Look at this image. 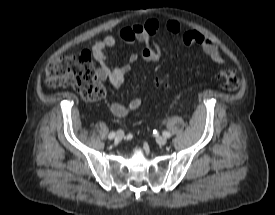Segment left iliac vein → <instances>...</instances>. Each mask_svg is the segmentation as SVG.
Segmentation results:
<instances>
[{
	"mask_svg": "<svg viewBox=\"0 0 275 215\" xmlns=\"http://www.w3.org/2000/svg\"><path fill=\"white\" fill-rule=\"evenodd\" d=\"M156 141L159 145H165L167 143L166 137H163V136H158L156 138Z\"/></svg>",
	"mask_w": 275,
	"mask_h": 215,
	"instance_id": "1",
	"label": "left iliac vein"
}]
</instances>
